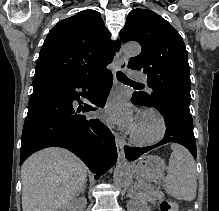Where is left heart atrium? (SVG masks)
Segmentation results:
<instances>
[{
	"label": "left heart atrium",
	"mask_w": 219,
	"mask_h": 211,
	"mask_svg": "<svg viewBox=\"0 0 219 211\" xmlns=\"http://www.w3.org/2000/svg\"><path fill=\"white\" fill-rule=\"evenodd\" d=\"M103 119L110 124H123L135 128L138 120L126 100L118 97L110 102L102 112Z\"/></svg>",
	"instance_id": "left-heart-atrium-1"
}]
</instances>
